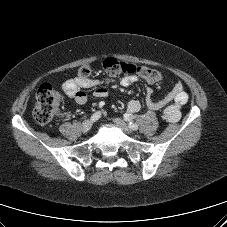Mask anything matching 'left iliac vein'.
<instances>
[{
    "label": "left iliac vein",
    "instance_id": "4c4485c4",
    "mask_svg": "<svg viewBox=\"0 0 227 227\" xmlns=\"http://www.w3.org/2000/svg\"><path fill=\"white\" fill-rule=\"evenodd\" d=\"M114 123L121 128L125 133H132V129L120 118L113 119Z\"/></svg>",
    "mask_w": 227,
    "mask_h": 227
}]
</instances>
